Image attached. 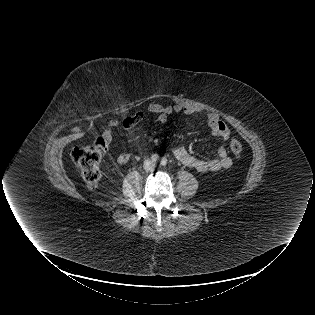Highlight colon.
Returning a JSON list of instances; mask_svg holds the SVG:
<instances>
[{
	"instance_id": "1",
	"label": "colon",
	"mask_w": 315,
	"mask_h": 315,
	"mask_svg": "<svg viewBox=\"0 0 315 315\" xmlns=\"http://www.w3.org/2000/svg\"><path fill=\"white\" fill-rule=\"evenodd\" d=\"M232 153L239 156L242 153V144L236 140H230ZM107 150L104 138L98 137L90 143L76 147L72 157L87 186L95 187L101 178V159Z\"/></svg>"
}]
</instances>
